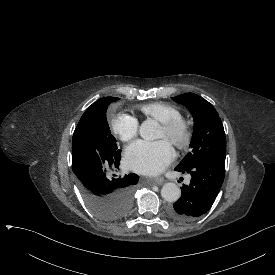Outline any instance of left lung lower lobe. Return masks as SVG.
I'll return each instance as SVG.
<instances>
[{
    "mask_svg": "<svg viewBox=\"0 0 275 275\" xmlns=\"http://www.w3.org/2000/svg\"><path fill=\"white\" fill-rule=\"evenodd\" d=\"M175 170L189 173L192 178L189 185L183 184L180 199L168 207V215L178 221H189L205 214L222 186L225 164L207 161L186 169L176 167Z\"/></svg>",
    "mask_w": 275,
    "mask_h": 275,
    "instance_id": "obj_1",
    "label": "left lung lower lobe"
}]
</instances>
